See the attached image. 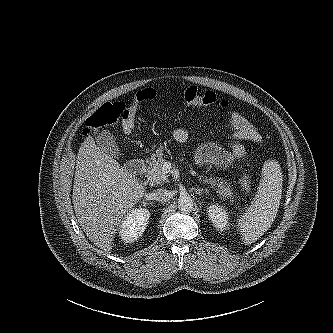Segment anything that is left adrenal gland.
Masks as SVG:
<instances>
[{
    "label": "left adrenal gland",
    "mask_w": 333,
    "mask_h": 333,
    "mask_svg": "<svg viewBox=\"0 0 333 333\" xmlns=\"http://www.w3.org/2000/svg\"><path fill=\"white\" fill-rule=\"evenodd\" d=\"M194 191H195V193L197 194V195H201L202 193H206V194H209V192H208V190L207 189H200V188H198V189H194Z\"/></svg>",
    "instance_id": "left-adrenal-gland-1"
}]
</instances>
